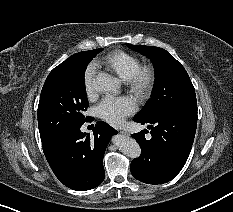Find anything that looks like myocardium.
I'll use <instances>...</instances> for the list:
<instances>
[{"mask_svg":"<svg viewBox=\"0 0 233 212\" xmlns=\"http://www.w3.org/2000/svg\"><path fill=\"white\" fill-rule=\"evenodd\" d=\"M155 80L156 74L151 66H140L125 83L137 100L144 101L150 96Z\"/></svg>","mask_w":233,"mask_h":212,"instance_id":"1","label":"myocardium"}]
</instances>
